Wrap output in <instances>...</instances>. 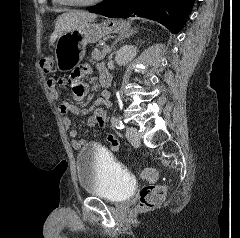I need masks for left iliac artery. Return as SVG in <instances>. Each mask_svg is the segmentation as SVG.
<instances>
[{
  "label": "left iliac artery",
  "mask_w": 240,
  "mask_h": 238,
  "mask_svg": "<svg viewBox=\"0 0 240 238\" xmlns=\"http://www.w3.org/2000/svg\"><path fill=\"white\" fill-rule=\"evenodd\" d=\"M111 122L117 129L123 130L125 128V125L119 118L112 117Z\"/></svg>",
  "instance_id": "44dca946"
}]
</instances>
